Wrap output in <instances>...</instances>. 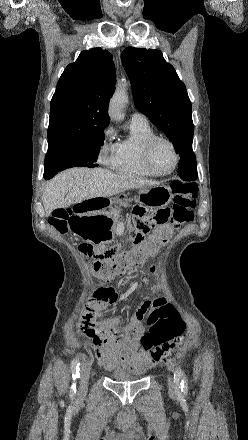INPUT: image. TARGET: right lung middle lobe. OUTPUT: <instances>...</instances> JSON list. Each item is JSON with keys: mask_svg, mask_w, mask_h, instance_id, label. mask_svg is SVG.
I'll return each instance as SVG.
<instances>
[{"mask_svg": "<svg viewBox=\"0 0 248 440\" xmlns=\"http://www.w3.org/2000/svg\"><path fill=\"white\" fill-rule=\"evenodd\" d=\"M104 129L93 131L79 138L48 144L45 156L44 178L72 167H97L100 147L103 145Z\"/></svg>", "mask_w": 248, "mask_h": 440, "instance_id": "1", "label": "right lung middle lobe"}]
</instances>
